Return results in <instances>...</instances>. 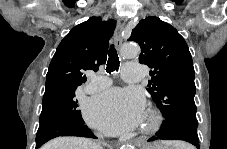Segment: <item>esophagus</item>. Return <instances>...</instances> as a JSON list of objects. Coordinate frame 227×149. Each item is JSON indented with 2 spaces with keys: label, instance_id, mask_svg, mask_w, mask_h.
<instances>
[{
  "label": "esophagus",
  "instance_id": "obj_1",
  "mask_svg": "<svg viewBox=\"0 0 227 149\" xmlns=\"http://www.w3.org/2000/svg\"><path fill=\"white\" fill-rule=\"evenodd\" d=\"M126 20L121 18L118 20L116 33H115V46L119 49L123 42V30L125 27ZM137 145H146V140H143V138H140V140H137Z\"/></svg>",
  "mask_w": 227,
  "mask_h": 149
}]
</instances>
